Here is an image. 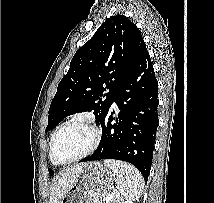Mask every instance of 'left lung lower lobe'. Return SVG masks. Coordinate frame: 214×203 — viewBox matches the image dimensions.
I'll return each instance as SVG.
<instances>
[{
	"label": "left lung lower lobe",
	"instance_id": "obj_1",
	"mask_svg": "<svg viewBox=\"0 0 214 203\" xmlns=\"http://www.w3.org/2000/svg\"><path fill=\"white\" fill-rule=\"evenodd\" d=\"M113 102L120 110L118 117L113 118L109 108L100 122L102 137L98 148L80 162L100 159L126 161L137 167L146 181L159 122L158 82L147 49L122 80Z\"/></svg>",
	"mask_w": 214,
	"mask_h": 203
}]
</instances>
